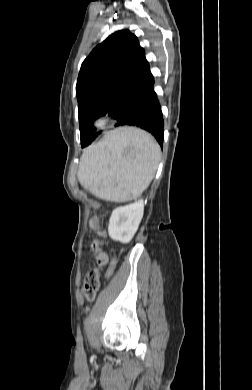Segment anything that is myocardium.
Listing matches in <instances>:
<instances>
[{
  "mask_svg": "<svg viewBox=\"0 0 252 390\" xmlns=\"http://www.w3.org/2000/svg\"><path fill=\"white\" fill-rule=\"evenodd\" d=\"M109 122V118L107 115H100L98 116L95 121L94 125L98 128H104Z\"/></svg>",
  "mask_w": 252,
  "mask_h": 390,
  "instance_id": "obj_1",
  "label": "myocardium"
}]
</instances>
